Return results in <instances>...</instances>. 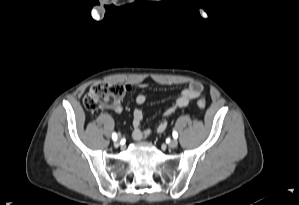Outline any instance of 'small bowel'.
<instances>
[{"label": "small bowel", "mask_w": 299, "mask_h": 205, "mask_svg": "<svg viewBox=\"0 0 299 205\" xmlns=\"http://www.w3.org/2000/svg\"><path fill=\"white\" fill-rule=\"evenodd\" d=\"M131 87L127 86V90ZM202 85L199 82H191L185 89L182 90L181 94L175 99L172 105H170L163 113L162 120L157 126V132L162 133L168 126V117L171 116L178 108L187 107L194 99L199 98L202 94ZM147 100L145 94H139L135 98V108L132 114L133 124V138L135 140H143L151 134L150 129H143L141 124L144 120V114L140 106L143 105ZM116 113H121L123 108L120 104H116L111 107Z\"/></svg>", "instance_id": "obj_1"}]
</instances>
